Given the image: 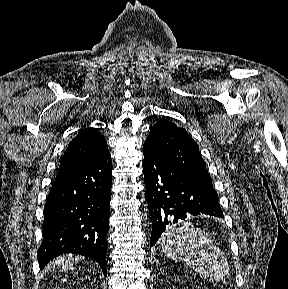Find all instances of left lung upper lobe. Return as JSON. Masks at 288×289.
Masks as SVG:
<instances>
[{"label": "left lung upper lobe", "mask_w": 288, "mask_h": 289, "mask_svg": "<svg viewBox=\"0 0 288 289\" xmlns=\"http://www.w3.org/2000/svg\"><path fill=\"white\" fill-rule=\"evenodd\" d=\"M145 143L168 164L196 179L212 184L199 147L185 129L166 120L158 121L151 128Z\"/></svg>", "instance_id": "obj_1"}]
</instances>
